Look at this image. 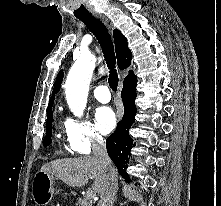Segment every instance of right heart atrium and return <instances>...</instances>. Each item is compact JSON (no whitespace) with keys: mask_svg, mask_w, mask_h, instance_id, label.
<instances>
[{"mask_svg":"<svg viewBox=\"0 0 221 206\" xmlns=\"http://www.w3.org/2000/svg\"><path fill=\"white\" fill-rule=\"evenodd\" d=\"M68 142L71 149L80 154H88L104 142L103 136L87 119L70 118L68 120Z\"/></svg>","mask_w":221,"mask_h":206,"instance_id":"1","label":"right heart atrium"}]
</instances>
